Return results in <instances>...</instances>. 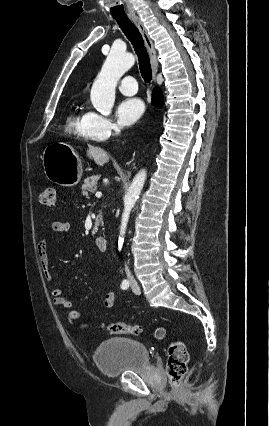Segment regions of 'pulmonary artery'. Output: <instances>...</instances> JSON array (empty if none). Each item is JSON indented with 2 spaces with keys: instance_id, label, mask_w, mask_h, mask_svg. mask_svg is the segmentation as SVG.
Here are the masks:
<instances>
[{
  "instance_id": "1",
  "label": "pulmonary artery",
  "mask_w": 269,
  "mask_h": 426,
  "mask_svg": "<svg viewBox=\"0 0 269 426\" xmlns=\"http://www.w3.org/2000/svg\"><path fill=\"white\" fill-rule=\"evenodd\" d=\"M118 88L124 95H134L137 93V83L134 77L124 76L118 83Z\"/></svg>"
}]
</instances>
